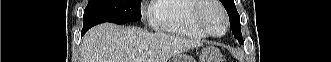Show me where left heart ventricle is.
<instances>
[{
	"mask_svg": "<svg viewBox=\"0 0 331 62\" xmlns=\"http://www.w3.org/2000/svg\"><path fill=\"white\" fill-rule=\"evenodd\" d=\"M204 21L210 30L216 34L224 30V21L220 11L215 7L208 8L203 14Z\"/></svg>",
	"mask_w": 331,
	"mask_h": 62,
	"instance_id": "left-heart-ventricle-1",
	"label": "left heart ventricle"
}]
</instances>
